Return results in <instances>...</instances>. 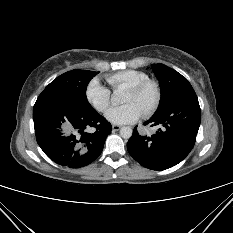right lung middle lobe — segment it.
I'll use <instances>...</instances> for the list:
<instances>
[{"label":"right lung middle lobe","mask_w":233,"mask_h":233,"mask_svg":"<svg viewBox=\"0 0 233 233\" xmlns=\"http://www.w3.org/2000/svg\"><path fill=\"white\" fill-rule=\"evenodd\" d=\"M98 73L87 70H71L57 77L46 86L45 90L58 93L80 107L92 108L86 98V88L90 80Z\"/></svg>","instance_id":"dd1d6c3e"}]
</instances>
